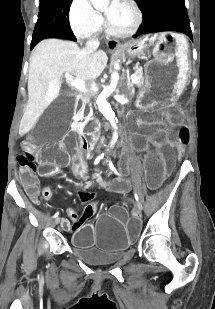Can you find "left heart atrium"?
<instances>
[{"label":"left heart atrium","instance_id":"obj_1","mask_svg":"<svg viewBox=\"0 0 215 309\" xmlns=\"http://www.w3.org/2000/svg\"><path fill=\"white\" fill-rule=\"evenodd\" d=\"M118 14H119V11H111V12H109L107 20H117Z\"/></svg>","mask_w":215,"mask_h":309}]
</instances>
